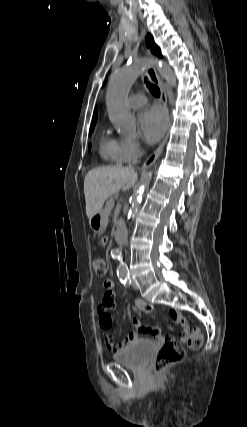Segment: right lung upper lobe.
I'll list each match as a JSON object with an SVG mask.
<instances>
[{"label":"right lung upper lobe","instance_id":"1","mask_svg":"<svg viewBox=\"0 0 247 427\" xmlns=\"http://www.w3.org/2000/svg\"><path fill=\"white\" fill-rule=\"evenodd\" d=\"M96 120H97V108H95V110H94L93 121H92L91 126L95 125Z\"/></svg>","mask_w":247,"mask_h":427}]
</instances>
